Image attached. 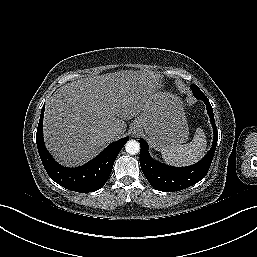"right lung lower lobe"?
Here are the masks:
<instances>
[{
    "instance_id": "obj_1",
    "label": "right lung lower lobe",
    "mask_w": 257,
    "mask_h": 257,
    "mask_svg": "<svg viewBox=\"0 0 257 257\" xmlns=\"http://www.w3.org/2000/svg\"><path fill=\"white\" fill-rule=\"evenodd\" d=\"M44 110L45 104L37 127L36 143L41 161L50 178L62 187L80 193L93 192L102 188L109 178L118 153L129 137L111 143L97 157L83 166L66 168L59 165L45 148L42 130Z\"/></svg>"
}]
</instances>
